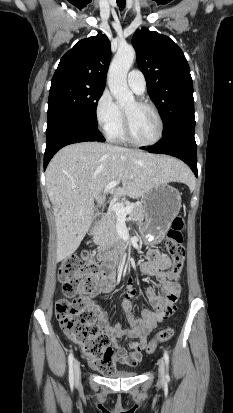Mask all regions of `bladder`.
<instances>
[{"label":"bladder","instance_id":"bladder-1","mask_svg":"<svg viewBox=\"0 0 233 413\" xmlns=\"http://www.w3.org/2000/svg\"><path fill=\"white\" fill-rule=\"evenodd\" d=\"M138 373L136 371H116L108 375V378L112 379H124L136 377Z\"/></svg>","mask_w":233,"mask_h":413}]
</instances>
